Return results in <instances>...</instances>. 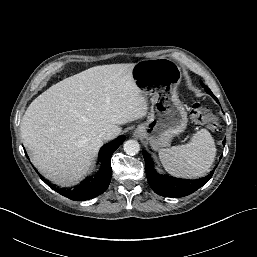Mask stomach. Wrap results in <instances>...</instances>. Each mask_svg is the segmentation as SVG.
Returning a JSON list of instances; mask_svg holds the SVG:
<instances>
[{"instance_id":"0dacf381","label":"stomach","mask_w":257,"mask_h":257,"mask_svg":"<svg viewBox=\"0 0 257 257\" xmlns=\"http://www.w3.org/2000/svg\"><path fill=\"white\" fill-rule=\"evenodd\" d=\"M132 76L143 93L151 96L152 103L148 120L136 128L135 135L148 141L153 150L166 149L188 122L177 94L180 66L167 58L141 60L134 64Z\"/></svg>"}]
</instances>
